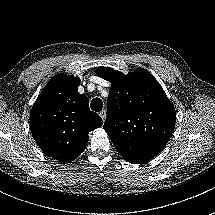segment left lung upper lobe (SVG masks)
<instances>
[{
    "label": "left lung upper lobe",
    "mask_w": 215,
    "mask_h": 215,
    "mask_svg": "<svg viewBox=\"0 0 215 215\" xmlns=\"http://www.w3.org/2000/svg\"><path fill=\"white\" fill-rule=\"evenodd\" d=\"M96 74L111 82L103 128L128 162L145 163L170 139L176 112L158 81L145 69L127 75L99 67Z\"/></svg>",
    "instance_id": "1"
}]
</instances>
